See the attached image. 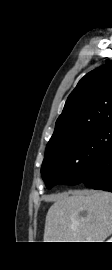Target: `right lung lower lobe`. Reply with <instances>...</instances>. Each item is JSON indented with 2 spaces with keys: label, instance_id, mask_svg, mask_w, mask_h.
Instances as JSON below:
<instances>
[{
  "label": "right lung lower lobe",
  "instance_id": "98d812e1",
  "mask_svg": "<svg viewBox=\"0 0 112 270\" xmlns=\"http://www.w3.org/2000/svg\"><path fill=\"white\" fill-rule=\"evenodd\" d=\"M82 183L93 189L112 192V145L97 158Z\"/></svg>",
  "mask_w": 112,
  "mask_h": 270
}]
</instances>
